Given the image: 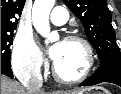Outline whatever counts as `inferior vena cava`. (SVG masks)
<instances>
[{
  "mask_svg": "<svg viewBox=\"0 0 121 94\" xmlns=\"http://www.w3.org/2000/svg\"><path fill=\"white\" fill-rule=\"evenodd\" d=\"M42 85H43V78L41 74L38 73L36 76H34L31 82L25 86V88L31 93H34L36 91H40Z\"/></svg>",
  "mask_w": 121,
  "mask_h": 94,
  "instance_id": "1",
  "label": "inferior vena cava"
}]
</instances>
